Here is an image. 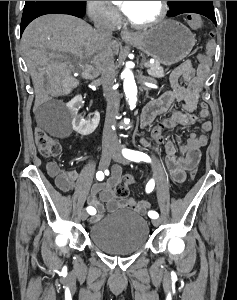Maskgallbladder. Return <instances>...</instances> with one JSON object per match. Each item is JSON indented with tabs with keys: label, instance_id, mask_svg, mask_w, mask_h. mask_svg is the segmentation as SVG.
<instances>
[{
	"label": "gallbladder",
	"instance_id": "bac80fb5",
	"mask_svg": "<svg viewBox=\"0 0 237 300\" xmlns=\"http://www.w3.org/2000/svg\"><path fill=\"white\" fill-rule=\"evenodd\" d=\"M73 78L72 76H62L61 77V87L59 88L60 94H71L73 88Z\"/></svg>",
	"mask_w": 237,
	"mask_h": 300
}]
</instances>
